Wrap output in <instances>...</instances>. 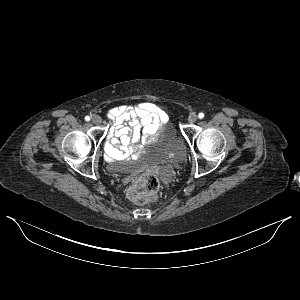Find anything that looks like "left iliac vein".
Returning <instances> with one entry per match:
<instances>
[{"label": "left iliac vein", "mask_w": 300, "mask_h": 300, "mask_svg": "<svg viewBox=\"0 0 300 300\" xmlns=\"http://www.w3.org/2000/svg\"><path fill=\"white\" fill-rule=\"evenodd\" d=\"M198 116L195 113H191L188 117L189 123L193 124L197 121Z\"/></svg>", "instance_id": "4c4485c4"}]
</instances>
